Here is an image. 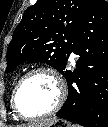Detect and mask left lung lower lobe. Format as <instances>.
I'll return each mask as SVG.
<instances>
[{"mask_svg": "<svg viewBox=\"0 0 108 127\" xmlns=\"http://www.w3.org/2000/svg\"><path fill=\"white\" fill-rule=\"evenodd\" d=\"M79 55L65 71L68 98L57 116L84 127H108V4L88 0L74 34Z\"/></svg>", "mask_w": 108, "mask_h": 127, "instance_id": "1", "label": "left lung lower lobe"}]
</instances>
